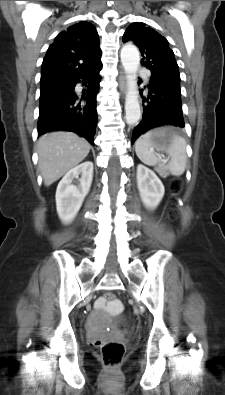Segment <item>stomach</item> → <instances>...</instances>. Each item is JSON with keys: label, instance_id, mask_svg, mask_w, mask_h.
<instances>
[{"label": "stomach", "instance_id": "1", "mask_svg": "<svg viewBox=\"0 0 225 395\" xmlns=\"http://www.w3.org/2000/svg\"><path fill=\"white\" fill-rule=\"evenodd\" d=\"M152 141L159 146H165L172 141V136L175 134L170 128H158L153 131Z\"/></svg>", "mask_w": 225, "mask_h": 395}]
</instances>
